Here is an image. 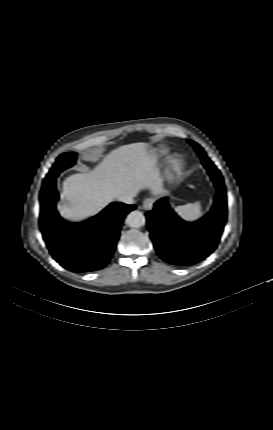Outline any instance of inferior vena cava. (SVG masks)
<instances>
[{
	"label": "inferior vena cava",
	"instance_id": "1",
	"mask_svg": "<svg viewBox=\"0 0 273 430\" xmlns=\"http://www.w3.org/2000/svg\"><path fill=\"white\" fill-rule=\"evenodd\" d=\"M135 194H124V195H120L118 197V200L120 202L126 203V204H133L134 203V198Z\"/></svg>",
	"mask_w": 273,
	"mask_h": 430
}]
</instances>
